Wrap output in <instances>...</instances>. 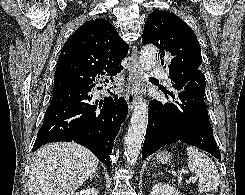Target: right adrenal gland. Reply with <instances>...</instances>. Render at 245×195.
Masks as SVG:
<instances>
[{
  "mask_svg": "<svg viewBox=\"0 0 245 195\" xmlns=\"http://www.w3.org/2000/svg\"><path fill=\"white\" fill-rule=\"evenodd\" d=\"M93 177L99 178L100 176H99V174L97 172H95L92 176H90V179H92Z\"/></svg>",
  "mask_w": 245,
  "mask_h": 195,
  "instance_id": "obj_1",
  "label": "right adrenal gland"
}]
</instances>
